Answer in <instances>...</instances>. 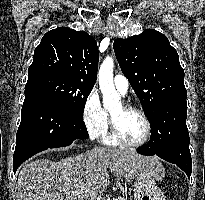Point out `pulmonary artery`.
Here are the masks:
<instances>
[{
    "label": "pulmonary artery",
    "instance_id": "pulmonary-artery-1",
    "mask_svg": "<svg viewBox=\"0 0 205 200\" xmlns=\"http://www.w3.org/2000/svg\"><path fill=\"white\" fill-rule=\"evenodd\" d=\"M113 84L122 95H125L129 89V82L127 78L120 74L114 77Z\"/></svg>",
    "mask_w": 205,
    "mask_h": 200
}]
</instances>
